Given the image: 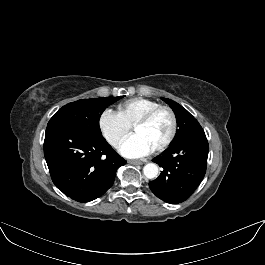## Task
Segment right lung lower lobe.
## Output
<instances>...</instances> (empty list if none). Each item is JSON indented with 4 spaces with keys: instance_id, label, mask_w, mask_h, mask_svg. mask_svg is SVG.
Wrapping results in <instances>:
<instances>
[{
    "instance_id": "98d812e1",
    "label": "right lung lower lobe",
    "mask_w": 265,
    "mask_h": 265,
    "mask_svg": "<svg viewBox=\"0 0 265 265\" xmlns=\"http://www.w3.org/2000/svg\"><path fill=\"white\" fill-rule=\"evenodd\" d=\"M44 155L55 186L78 202L103 195L126 163L102 134L65 125L46 129Z\"/></svg>"
}]
</instances>
